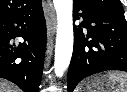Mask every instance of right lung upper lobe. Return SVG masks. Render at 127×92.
I'll return each instance as SVG.
<instances>
[{"instance_id": "1", "label": "right lung upper lobe", "mask_w": 127, "mask_h": 92, "mask_svg": "<svg viewBox=\"0 0 127 92\" xmlns=\"http://www.w3.org/2000/svg\"><path fill=\"white\" fill-rule=\"evenodd\" d=\"M40 2L41 0H0V20L31 11Z\"/></svg>"}]
</instances>
